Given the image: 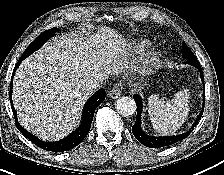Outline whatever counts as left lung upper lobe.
<instances>
[{
    "label": "left lung upper lobe",
    "instance_id": "obj_1",
    "mask_svg": "<svg viewBox=\"0 0 224 175\" xmlns=\"http://www.w3.org/2000/svg\"><path fill=\"white\" fill-rule=\"evenodd\" d=\"M182 56L184 59H186L187 63H198L197 58L194 56L192 51L189 49V47L183 42L182 44Z\"/></svg>",
    "mask_w": 224,
    "mask_h": 175
}]
</instances>
